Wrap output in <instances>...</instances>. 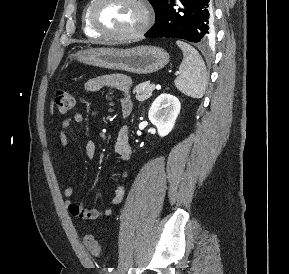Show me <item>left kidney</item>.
<instances>
[{
	"label": "left kidney",
	"mask_w": 289,
	"mask_h": 274,
	"mask_svg": "<svg viewBox=\"0 0 289 274\" xmlns=\"http://www.w3.org/2000/svg\"><path fill=\"white\" fill-rule=\"evenodd\" d=\"M180 101L171 94H161L152 103L148 118L157 127L160 137L168 135L175 125L180 112Z\"/></svg>",
	"instance_id": "1"
}]
</instances>
